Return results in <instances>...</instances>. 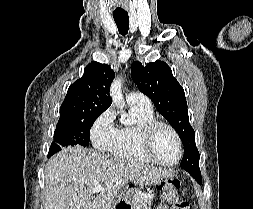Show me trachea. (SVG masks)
<instances>
[{"label":"trachea","instance_id":"trachea-1","mask_svg":"<svg viewBox=\"0 0 253 209\" xmlns=\"http://www.w3.org/2000/svg\"><path fill=\"white\" fill-rule=\"evenodd\" d=\"M117 25L118 31L121 35L125 36L129 29V17L128 15H116L113 16Z\"/></svg>","mask_w":253,"mask_h":209}]
</instances>
